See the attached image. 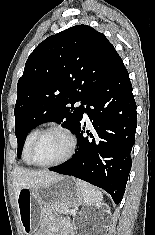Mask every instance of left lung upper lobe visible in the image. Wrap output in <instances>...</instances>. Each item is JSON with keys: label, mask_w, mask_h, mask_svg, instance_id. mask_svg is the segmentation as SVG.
<instances>
[{"label": "left lung upper lobe", "mask_w": 155, "mask_h": 235, "mask_svg": "<svg viewBox=\"0 0 155 235\" xmlns=\"http://www.w3.org/2000/svg\"><path fill=\"white\" fill-rule=\"evenodd\" d=\"M118 59L105 35L87 25L73 26L42 41L29 55L17 84V157L26 135L40 123L63 122L74 132L84 108L73 104H86Z\"/></svg>", "instance_id": "5c2ea615"}]
</instances>
